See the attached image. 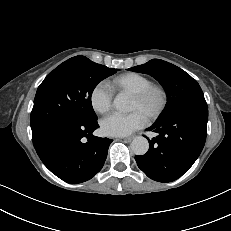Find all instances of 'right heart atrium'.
I'll list each match as a JSON object with an SVG mask.
<instances>
[{
    "instance_id": "1",
    "label": "right heart atrium",
    "mask_w": 231,
    "mask_h": 231,
    "mask_svg": "<svg viewBox=\"0 0 231 231\" xmlns=\"http://www.w3.org/2000/svg\"><path fill=\"white\" fill-rule=\"evenodd\" d=\"M89 99L95 112L105 114L111 108L113 92L106 83L100 82L92 88Z\"/></svg>"
}]
</instances>
